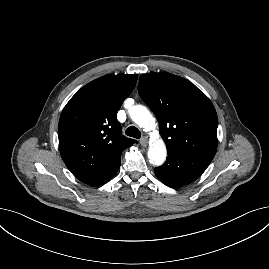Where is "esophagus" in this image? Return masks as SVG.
Segmentation results:
<instances>
[{"instance_id":"34e87169","label":"esophagus","mask_w":269,"mask_h":269,"mask_svg":"<svg viewBox=\"0 0 269 269\" xmlns=\"http://www.w3.org/2000/svg\"><path fill=\"white\" fill-rule=\"evenodd\" d=\"M140 144L143 146V147H146L148 145V137L147 136H144L140 139Z\"/></svg>"}]
</instances>
